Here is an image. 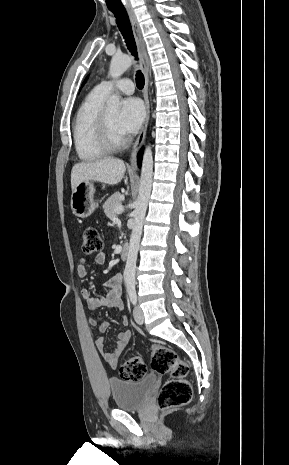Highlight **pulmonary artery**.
<instances>
[{
	"mask_svg": "<svg viewBox=\"0 0 289 465\" xmlns=\"http://www.w3.org/2000/svg\"><path fill=\"white\" fill-rule=\"evenodd\" d=\"M96 88L106 96L113 91H120L124 94H132L134 92V83L132 80L124 78L118 81H103Z\"/></svg>",
	"mask_w": 289,
	"mask_h": 465,
	"instance_id": "e3ab8cb5",
	"label": "pulmonary artery"
}]
</instances>
